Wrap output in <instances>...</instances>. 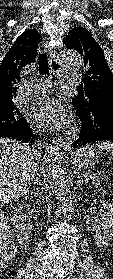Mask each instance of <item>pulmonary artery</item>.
<instances>
[{"mask_svg":"<svg viewBox=\"0 0 113 279\" xmlns=\"http://www.w3.org/2000/svg\"><path fill=\"white\" fill-rule=\"evenodd\" d=\"M61 77L64 81L72 85H77L81 81L79 76L71 72L61 74ZM50 88H51L50 81L44 79H37L27 88V94L29 95L42 94L48 91Z\"/></svg>","mask_w":113,"mask_h":279,"instance_id":"pulmonary-artery-1","label":"pulmonary artery"}]
</instances>
